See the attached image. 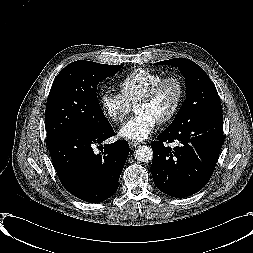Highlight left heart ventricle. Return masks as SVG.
Here are the masks:
<instances>
[{"mask_svg":"<svg viewBox=\"0 0 253 253\" xmlns=\"http://www.w3.org/2000/svg\"><path fill=\"white\" fill-rule=\"evenodd\" d=\"M178 95L179 90L176 83L168 82L160 88L151 101L137 104L134 112L136 114H147L158 122L173 109Z\"/></svg>","mask_w":253,"mask_h":253,"instance_id":"obj_1","label":"left heart ventricle"}]
</instances>
